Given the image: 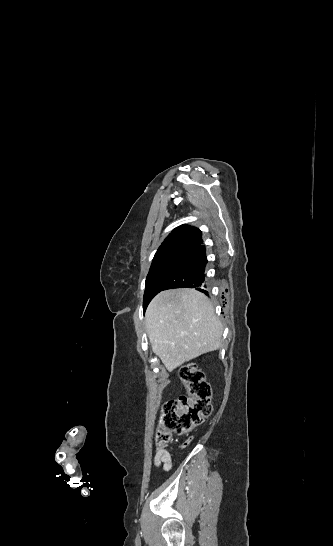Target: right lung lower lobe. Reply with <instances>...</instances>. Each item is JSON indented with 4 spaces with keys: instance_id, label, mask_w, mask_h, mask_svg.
Segmentation results:
<instances>
[{
    "instance_id": "1",
    "label": "right lung lower lobe",
    "mask_w": 333,
    "mask_h": 546,
    "mask_svg": "<svg viewBox=\"0 0 333 546\" xmlns=\"http://www.w3.org/2000/svg\"><path fill=\"white\" fill-rule=\"evenodd\" d=\"M206 264V250L203 244L188 250L160 277L155 295L172 288H195L208 295V291L204 289ZM147 305L143 306L144 311Z\"/></svg>"
}]
</instances>
